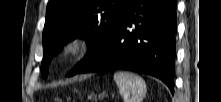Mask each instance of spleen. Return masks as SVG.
Instances as JSON below:
<instances>
[{
    "label": "spleen",
    "instance_id": "1",
    "mask_svg": "<svg viewBox=\"0 0 221 102\" xmlns=\"http://www.w3.org/2000/svg\"><path fill=\"white\" fill-rule=\"evenodd\" d=\"M114 81L124 102H142L146 94V84L140 76L118 71L114 74Z\"/></svg>",
    "mask_w": 221,
    "mask_h": 102
}]
</instances>
